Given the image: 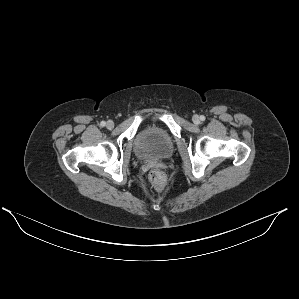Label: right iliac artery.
Here are the masks:
<instances>
[{
  "label": "right iliac artery",
  "mask_w": 299,
  "mask_h": 299,
  "mask_svg": "<svg viewBox=\"0 0 299 299\" xmlns=\"http://www.w3.org/2000/svg\"><path fill=\"white\" fill-rule=\"evenodd\" d=\"M106 125V122L105 121H102L101 123H100V126L101 127H104Z\"/></svg>",
  "instance_id": "obj_1"
}]
</instances>
